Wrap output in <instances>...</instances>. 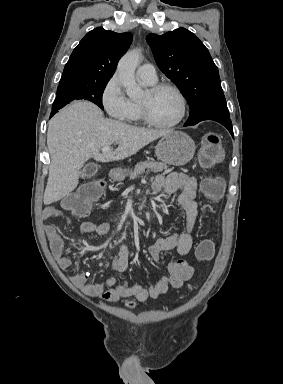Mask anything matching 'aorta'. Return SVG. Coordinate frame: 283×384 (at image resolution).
I'll return each instance as SVG.
<instances>
[{"mask_svg": "<svg viewBox=\"0 0 283 384\" xmlns=\"http://www.w3.org/2000/svg\"><path fill=\"white\" fill-rule=\"evenodd\" d=\"M140 58L139 49L131 50L120 59L117 67L119 80L131 98L139 97L142 93L135 79V69L139 65Z\"/></svg>", "mask_w": 283, "mask_h": 384, "instance_id": "1", "label": "aorta"}]
</instances>
